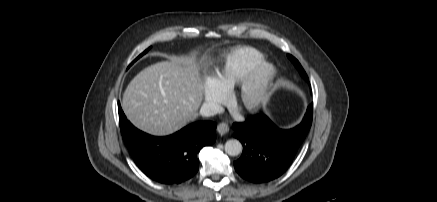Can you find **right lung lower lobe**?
<instances>
[{"label": "right lung lower lobe", "mask_w": 437, "mask_h": 202, "mask_svg": "<svg viewBox=\"0 0 437 202\" xmlns=\"http://www.w3.org/2000/svg\"><path fill=\"white\" fill-rule=\"evenodd\" d=\"M119 108L124 142L136 165L151 179L162 184H180L199 169L200 150L216 140V123L199 121L165 137H155L135 128Z\"/></svg>", "instance_id": "1"}]
</instances>
